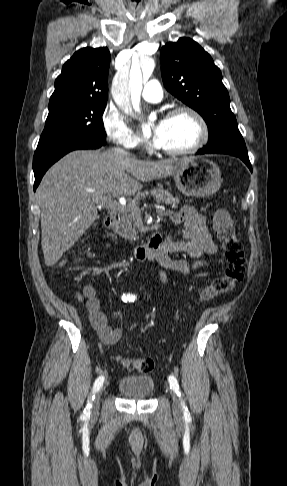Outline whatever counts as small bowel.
<instances>
[{"label": "small bowel", "instance_id": "obj_1", "mask_svg": "<svg viewBox=\"0 0 287 486\" xmlns=\"http://www.w3.org/2000/svg\"><path fill=\"white\" fill-rule=\"evenodd\" d=\"M159 214L167 215L175 226L173 232L162 238L159 251L148 259L160 267V278L163 283H166L167 274L170 272L187 274L193 269L205 266L203 260H198L190 266L186 261L174 258V254L199 257L203 254L217 253L218 248L207 228L206 219L194 207L186 205L179 211L160 210ZM81 293L86 301L91 325L101 342L107 345L117 343L122 332L109 323L108 317L101 310L98 290L86 284Z\"/></svg>", "mask_w": 287, "mask_h": 486}]
</instances>
